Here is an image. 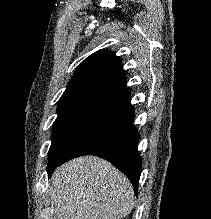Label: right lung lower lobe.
<instances>
[{
  "label": "right lung lower lobe",
  "mask_w": 211,
  "mask_h": 219,
  "mask_svg": "<svg viewBox=\"0 0 211 219\" xmlns=\"http://www.w3.org/2000/svg\"><path fill=\"white\" fill-rule=\"evenodd\" d=\"M134 110L130 102L118 108L81 138L54 166L82 155H97L124 173L138 192L142 160L138 152L139 133L133 126Z\"/></svg>",
  "instance_id": "98d812e1"
}]
</instances>
